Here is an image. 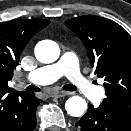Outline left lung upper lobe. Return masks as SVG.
<instances>
[{"label":"left lung upper lobe","mask_w":131,"mask_h":131,"mask_svg":"<svg viewBox=\"0 0 131 131\" xmlns=\"http://www.w3.org/2000/svg\"><path fill=\"white\" fill-rule=\"evenodd\" d=\"M84 43L95 74L104 78V105L131 122V36L116 22L94 15L65 22Z\"/></svg>","instance_id":"left-lung-upper-lobe-1"}]
</instances>
